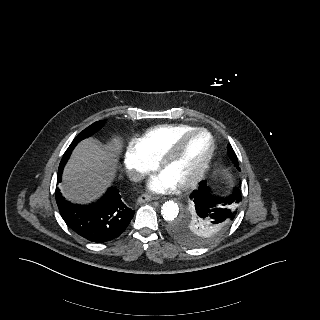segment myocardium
I'll return each instance as SVG.
<instances>
[{
    "label": "myocardium",
    "mask_w": 320,
    "mask_h": 320,
    "mask_svg": "<svg viewBox=\"0 0 320 320\" xmlns=\"http://www.w3.org/2000/svg\"><path fill=\"white\" fill-rule=\"evenodd\" d=\"M197 135H205L207 137V153L201 161V163L199 164L196 171L185 181L177 185V188L179 189L184 190L195 186L207 172L215 152V142L210 132L204 128H193L181 134L179 137L176 138V140L172 143L168 150L158 160L159 170L163 171L174 159L177 158L186 142Z\"/></svg>",
    "instance_id": "obj_1"
}]
</instances>
